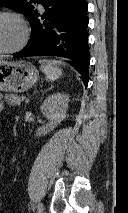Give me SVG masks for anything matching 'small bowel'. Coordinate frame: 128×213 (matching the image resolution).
Returning <instances> with one entry per match:
<instances>
[{
  "label": "small bowel",
  "instance_id": "c3829d8e",
  "mask_svg": "<svg viewBox=\"0 0 128 213\" xmlns=\"http://www.w3.org/2000/svg\"><path fill=\"white\" fill-rule=\"evenodd\" d=\"M2 109H3V103H2V101L0 100V111H2Z\"/></svg>",
  "mask_w": 128,
  "mask_h": 213
}]
</instances>
